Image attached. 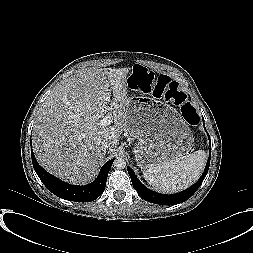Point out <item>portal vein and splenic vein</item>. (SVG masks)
Instances as JSON below:
<instances>
[{"label":"portal vein and splenic vein","mask_w":253,"mask_h":253,"mask_svg":"<svg viewBox=\"0 0 253 253\" xmlns=\"http://www.w3.org/2000/svg\"><path fill=\"white\" fill-rule=\"evenodd\" d=\"M111 123H112V115L110 113H107V115L100 120L99 125L101 127H107Z\"/></svg>","instance_id":"18ae733b"}]
</instances>
